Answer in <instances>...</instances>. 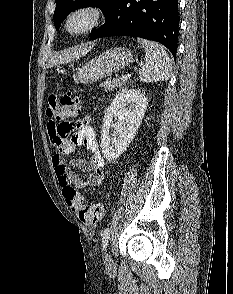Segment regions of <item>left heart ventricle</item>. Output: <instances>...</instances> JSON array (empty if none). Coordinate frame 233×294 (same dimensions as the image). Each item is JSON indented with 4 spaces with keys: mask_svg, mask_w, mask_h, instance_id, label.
<instances>
[{
    "mask_svg": "<svg viewBox=\"0 0 233 294\" xmlns=\"http://www.w3.org/2000/svg\"><path fill=\"white\" fill-rule=\"evenodd\" d=\"M88 23H89V17L87 15H84V14L78 15L72 20L70 24V28L72 31H80L83 28H85Z\"/></svg>",
    "mask_w": 233,
    "mask_h": 294,
    "instance_id": "1",
    "label": "left heart ventricle"
}]
</instances>
